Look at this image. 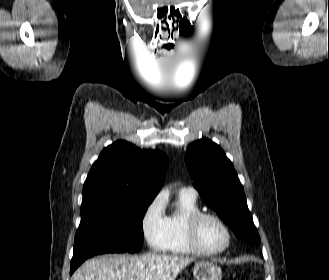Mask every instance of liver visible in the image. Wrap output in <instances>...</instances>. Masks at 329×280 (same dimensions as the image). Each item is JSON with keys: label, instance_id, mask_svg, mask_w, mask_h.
<instances>
[{"label": "liver", "instance_id": "6515ba94", "mask_svg": "<svg viewBox=\"0 0 329 280\" xmlns=\"http://www.w3.org/2000/svg\"><path fill=\"white\" fill-rule=\"evenodd\" d=\"M193 258L148 253L101 256L86 261L73 280H175Z\"/></svg>", "mask_w": 329, "mask_h": 280}]
</instances>
